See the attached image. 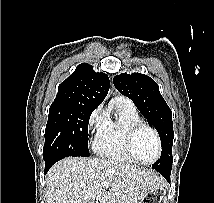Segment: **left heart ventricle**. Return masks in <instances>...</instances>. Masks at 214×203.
Instances as JSON below:
<instances>
[{"mask_svg":"<svg viewBox=\"0 0 214 203\" xmlns=\"http://www.w3.org/2000/svg\"><path fill=\"white\" fill-rule=\"evenodd\" d=\"M134 149L142 161L154 160L157 154V145L153 134L147 129L141 130L135 138Z\"/></svg>","mask_w":214,"mask_h":203,"instance_id":"left-heart-ventricle-1","label":"left heart ventricle"}]
</instances>
